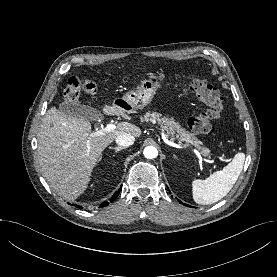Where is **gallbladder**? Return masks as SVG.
Instances as JSON below:
<instances>
[{"label": "gallbladder", "instance_id": "obj_1", "mask_svg": "<svg viewBox=\"0 0 277 277\" xmlns=\"http://www.w3.org/2000/svg\"><path fill=\"white\" fill-rule=\"evenodd\" d=\"M59 110L68 116L83 120L97 121L101 119V114L96 109L78 103L62 102L59 104Z\"/></svg>", "mask_w": 277, "mask_h": 277}]
</instances>
